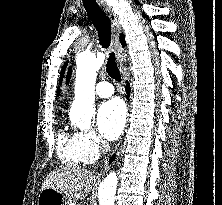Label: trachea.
<instances>
[{"label": "trachea", "instance_id": "3493384b", "mask_svg": "<svg viewBox=\"0 0 222 205\" xmlns=\"http://www.w3.org/2000/svg\"><path fill=\"white\" fill-rule=\"evenodd\" d=\"M85 9L88 13L90 20L95 26L100 45L104 49H109L111 43V22L110 19L106 16L105 12H103L98 6H85ZM106 71L108 75L114 79L115 81H121V74L119 68L116 63V58L114 52H109V57L106 63Z\"/></svg>", "mask_w": 222, "mask_h": 205}]
</instances>
